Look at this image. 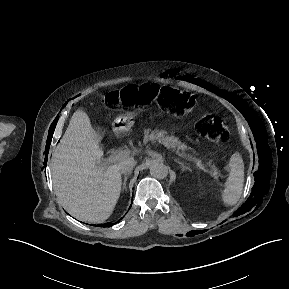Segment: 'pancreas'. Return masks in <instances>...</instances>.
<instances>
[{"instance_id": "1", "label": "pancreas", "mask_w": 289, "mask_h": 289, "mask_svg": "<svg viewBox=\"0 0 289 289\" xmlns=\"http://www.w3.org/2000/svg\"><path fill=\"white\" fill-rule=\"evenodd\" d=\"M144 134H145L144 136L145 142L151 141V142H159L163 145L169 144L170 148L175 150L178 154H186L185 151H187V146L181 141H179L177 138L166 135L164 131L159 130L151 131L147 129L144 131ZM208 167H209L208 172L211 174V176L214 177L215 179H218L220 173L217 167L211 163L208 164Z\"/></svg>"}]
</instances>
